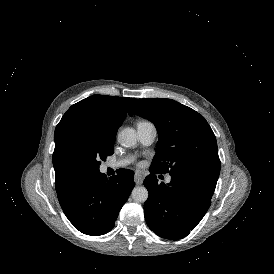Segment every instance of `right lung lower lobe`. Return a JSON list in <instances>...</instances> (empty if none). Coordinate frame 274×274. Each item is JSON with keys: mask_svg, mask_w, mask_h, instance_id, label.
<instances>
[{"mask_svg": "<svg viewBox=\"0 0 274 274\" xmlns=\"http://www.w3.org/2000/svg\"><path fill=\"white\" fill-rule=\"evenodd\" d=\"M131 170L120 169L106 180L100 171L76 176L56 190L69 221L82 233L92 236L109 232L135 183Z\"/></svg>", "mask_w": 274, "mask_h": 274, "instance_id": "1", "label": "right lung lower lobe"}]
</instances>
